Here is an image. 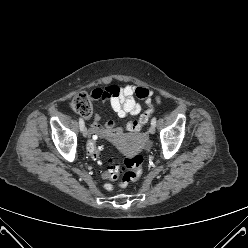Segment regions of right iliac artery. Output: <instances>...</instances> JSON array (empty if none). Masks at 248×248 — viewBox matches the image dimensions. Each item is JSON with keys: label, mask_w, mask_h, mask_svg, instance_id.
<instances>
[{"label": "right iliac artery", "mask_w": 248, "mask_h": 248, "mask_svg": "<svg viewBox=\"0 0 248 248\" xmlns=\"http://www.w3.org/2000/svg\"><path fill=\"white\" fill-rule=\"evenodd\" d=\"M79 126H80V130L83 131L85 124H84V120L82 118H79Z\"/></svg>", "instance_id": "1"}]
</instances>
